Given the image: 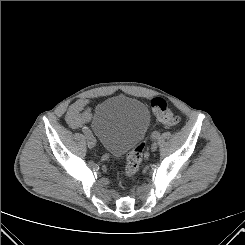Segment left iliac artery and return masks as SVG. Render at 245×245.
I'll return each mask as SVG.
<instances>
[{"label": "left iliac artery", "instance_id": "1", "mask_svg": "<svg viewBox=\"0 0 245 245\" xmlns=\"http://www.w3.org/2000/svg\"><path fill=\"white\" fill-rule=\"evenodd\" d=\"M158 137H159V133L158 132H153L152 133V139H158Z\"/></svg>", "mask_w": 245, "mask_h": 245}]
</instances>
